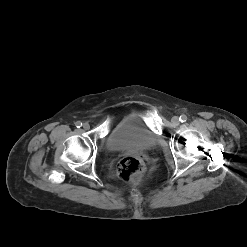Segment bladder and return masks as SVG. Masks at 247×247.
<instances>
[{
	"instance_id": "31cf9c89",
	"label": "bladder",
	"mask_w": 247,
	"mask_h": 247,
	"mask_svg": "<svg viewBox=\"0 0 247 247\" xmlns=\"http://www.w3.org/2000/svg\"><path fill=\"white\" fill-rule=\"evenodd\" d=\"M156 144V136L136 113L124 117L110 132L107 148L111 151L149 150Z\"/></svg>"
}]
</instances>
